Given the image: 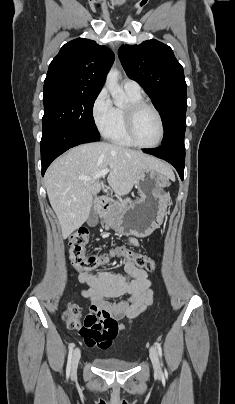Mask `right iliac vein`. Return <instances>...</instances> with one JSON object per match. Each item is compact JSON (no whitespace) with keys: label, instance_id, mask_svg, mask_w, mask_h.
I'll return each instance as SVG.
<instances>
[{"label":"right iliac vein","instance_id":"right-iliac-vein-1","mask_svg":"<svg viewBox=\"0 0 235 404\" xmlns=\"http://www.w3.org/2000/svg\"><path fill=\"white\" fill-rule=\"evenodd\" d=\"M81 352L79 348H76L73 352L72 365H71V375L74 376L77 372V367L80 361Z\"/></svg>","mask_w":235,"mask_h":404}]
</instances>
